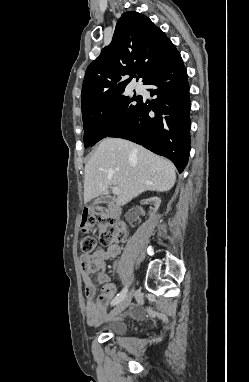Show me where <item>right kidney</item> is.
Here are the masks:
<instances>
[{
    "label": "right kidney",
    "mask_w": 249,
    "mask_h": 382,
    "mask_svg": "<svg viewBox=\"0 0 249 382\" xmlns=\"http://www.w3.org/2000/svg\"><path fill=\"white\" fill-rule=\"evenodd\" d=\"M160 199L158 197H151V198H145L144 199V205L145 207H150V205H154L155 206V211H157V209L159 208L160 206ZM142 210V205L141 204H134L133 207L130 208V210L127 211V214H126V219H127V223L128 224H131L130 225V228L132 230H135L138 226L139 223H141V218H136L138 215V213ZM143 211V210H142Z\"/></svg>",
    "instance_id": "obj_1"
}]
</instances>
